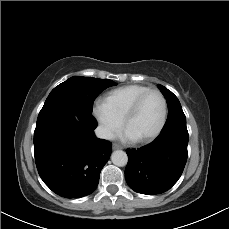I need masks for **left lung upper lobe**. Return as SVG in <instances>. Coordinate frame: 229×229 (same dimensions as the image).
<instances>
[{
	"instance_id": "5c2ea615",
	"label": "left lung upper lobe",
	"mask_w": 229,
	"mask_h": 229,
	"mask_svg": "<svg viewBox=\"0 0 229 229\" xmlns=\"http://www.w3.org/2000/svg\"><path fill=\"white\" fill-rule=\"evenodd\" d=\"M158 87L166 98L169 109L168 118L163 131L173 128L177 125H186V117L178 98L164 86L158 84Z\"/></svg>"
}]
</instances>
